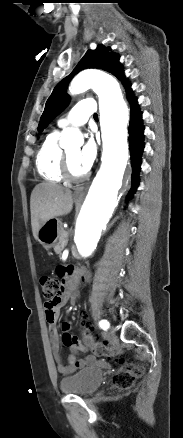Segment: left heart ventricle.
<instances>
[{
  "label": "left heart ventricle",
  "mask_w": 183,
  "mask_h": 438,
  "mask_svg": "<svg viewBox=\"0 0 183 438\" xmlns=\"http://www.w3.org/2000/svg\"><path fill=\"white\" fill-rule=\"evenodd\" d=\"M80 148L75 147L72 149H69L66 151L69 163H70V170L72 174L79 176L85 173V170L81 167L78 157H79Z\"/></svg>",
  "instance_id": "b2bd125f"
}]
</instances>
